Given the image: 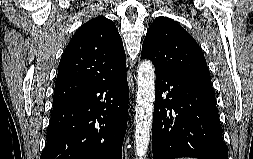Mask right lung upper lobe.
Listing matches in <instances>:
<instances>
[{
	"instance_id": "obj_1",
	"label": "right lung upper lobe",
	"mask_w": 253,
	"mask_h": 159,
	"mask_svg": "<svg viewBox=\"0 0 253 159\" xmlns=\"http://www.w3.org/2000/svg\"><path fill=\"white\" fill-rule=\"evenodd\" d=\"M125 69L126 55L115 24L104 16L93 18L77 30L61 57L53 104L63 105Z\"/></svg>"
}]
</instances>
